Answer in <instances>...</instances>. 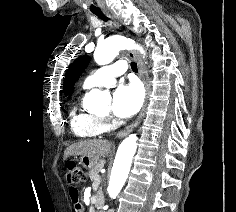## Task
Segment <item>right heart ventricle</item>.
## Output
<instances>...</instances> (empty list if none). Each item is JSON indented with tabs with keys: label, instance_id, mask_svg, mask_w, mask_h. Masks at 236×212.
<instances>
[{
	"label": "right heart ventricle",
	"instance_id": "1",
	"mask_svg": "<svg viewBox=\"0 0 236 212\" xmlns=\"http://www.w3.org/2000/svg\"><path fill=\"white\" fill-rule=\"evenodd\" d=\"M70 123L74 134L80 138H93L106 131L103 118L84 110L78 103L71 107Z\"/></svg>",
	"mask_w": 236,
	"mask_h": 212
}]
</instances>
